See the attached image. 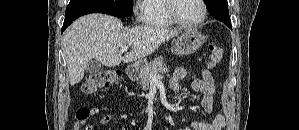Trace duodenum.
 Wrapping results in <instances>:
<instances>
[{"instance_id": "410a0bca", "label": "duodenum", "mask_w": 299, "mask_h": 130, "mask_svg": "<svg viewBox=\"0 0 299 130\" xmlns=\"http://www.w3.org/2000/svg\"><path fill=\"white\" fill-rule=\"evenodd\" d=\"M126 74L128 76L129 79H134L136 77V71L133 67H128L126 69Z\"/></svg>"}]
</instances>
